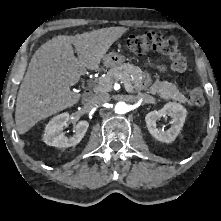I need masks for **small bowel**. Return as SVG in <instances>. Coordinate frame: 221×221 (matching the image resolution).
Segmentation results:
<instances>
[{"label": "small bowel", "mask_w": 221, "mask_h": 221, "mask_svg": "<svg viewBox=\"0 0 221 221\" xmlns=\"http://www.w3.org/2000/svg\"><path fill=\"white\" fill-rule=\"evenodd\" d=\"M159 70H161L162 72H166V67L163 65H157L156 66Z\"/></svg>", "instance_id": "c3829d8e"}]
</instances>
